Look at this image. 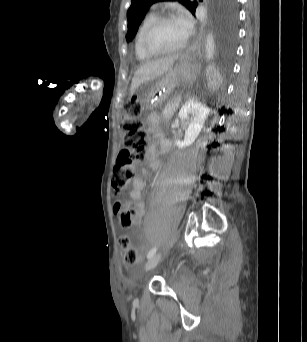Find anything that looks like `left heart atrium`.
Returning <instances> with one entry per match:
<instances>
[{
    "label": "left heart atrium",
    "instance_id": "39dd6f15",
    "mask_svg": "<svg viewBox=\"0 0 307 342\" xmlns=\"http://www.w3.org/2000/svg\"><path fill=\"white\" fill-rule=\"evenodd\" d=\"M179 24H180L181 30H182L185 38L190 37L193 33L192 22L188 18H182V20Z\"/></svg>",
    "mask_w": 307,
    "mask_h": 342
}]
</instances>
